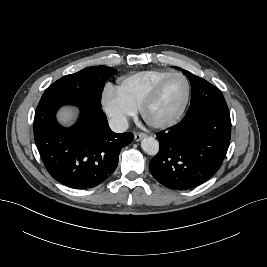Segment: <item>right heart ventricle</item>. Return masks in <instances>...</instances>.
Instances as JSON below:
<instances>
[{"instance_id": "obj_1", "label": "right heart ventricle", "mask_w": 267, "mask_h": 267, "mask_svg": "<svg viewBox=\"0 0 267 267\" xmlns=\"http://www.w3.org/2000/svg\"><path fill=\"white\" fill-rule=\"evenodd\" d=\"M171 73L156 70L137 72L120 78L115 90L122 100L136 111L154 86Z\"/></svg>"}]
</instances>
